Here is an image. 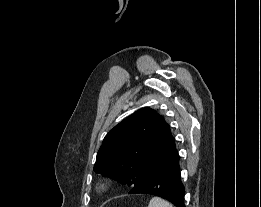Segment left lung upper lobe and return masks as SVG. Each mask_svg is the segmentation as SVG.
I'll return each mask as SVG.
<instances>
[{
    "label": "left lung upper lobe",
    "mask_w": 261,
    "mask_h": 207,
    "mask_svg": "<svg viewBox=\"0 0 261 207\" xmlns=\"http://www.w3.org/2000/svg\"><path fill=\"white\" fill-rule=\"evenodd\" d=\"M178 157L169 125L163 116L145 107L107 133L94 171L134 187Z\"/></svg>",
    "instance_id": "obj_1"
}]
</instances>
